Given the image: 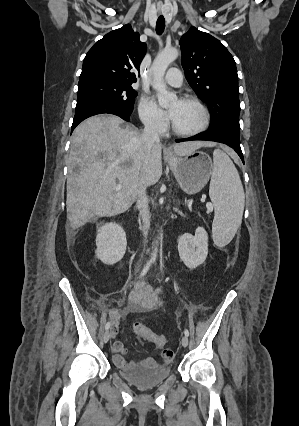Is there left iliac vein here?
I'll use <instances>...</instances> for the list:
<instances>
[{"label":"left iliac vein","mask_w":299,"mask_h":426,"mask_svg":"<svg viewBox=\"0 0 299 426\" xmlns=\"http://www.w3.org/2000/svg\"><path fill=\"white\" fill-rule=\"evenodd\" d=\"M189 343L188 337L186 335H184L181 339V344L183 347H187Z\"/></svg>","instance_id":"left-iliac-vein-1"}]
</instances>
